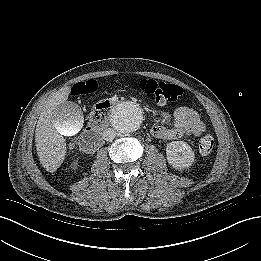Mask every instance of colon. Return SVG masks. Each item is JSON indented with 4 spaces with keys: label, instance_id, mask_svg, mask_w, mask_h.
<instances>
[{
    "label": "colon",
    "instance_id": "colon-1",
    "mask_svg": "<svg viewBox=\"0 0 261 261\" xmlns=\"http://www.w3.org/2000/svg\"><path fill=\"white\" fill-rule=\"evenodd\" d=\"M134 87L158 104L178 101L184 96L183 89L180 86L165 82H158L153 79H141L134 84ZM97 88L98 84L95 81H87L77 84L73 88V94L86 95L93 93L97 90ZM110 108L111 105L108 101L97 103L91 111L93 121L101 122L105 120L109 114ZM213 146L214 138L211 134H206L199 141V150L203 154L210 153ZM75 147L76 144H71L72 149Z\"/></svg>",
    "mask_w": 261,
    "mask_h": 261
}]
</instances>
